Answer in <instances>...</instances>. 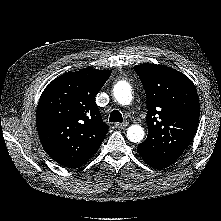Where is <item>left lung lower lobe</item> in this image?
I'll list each match as a JSON object with an SVG mask.
<instances>
[{"instance_id":"obj_1","label":"left lung lower lobe","mask_w":221,"mask_h":221,"mask_svg":"<svg viewBox=\"0 0 221 221\" xmlns=\"http://www.w3.org/2000/svg\"><path fill=\"white\" fill-rule=\"evenodd\" d=\"M138 151V150H137ZM140 156L144 159V161L151 167L156 168V169H163L166 168L168 166H170V164L161 162V161H157L153 158L148 157L147 155H145L144 153L138 151Z\"/></svg>"}]
</instances>
